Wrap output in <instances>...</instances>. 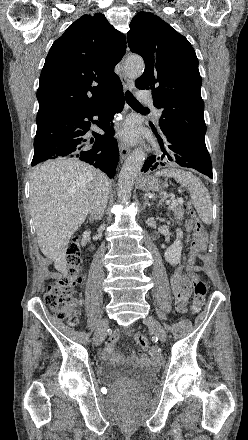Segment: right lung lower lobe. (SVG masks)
<instances>
[{"label":"right lung lower lobe","instance_id":"obj_1","mask_svg":"<svg viewBox=\"0 0 248 440\" xmlns=\"http://www.w3.org/2000/svg\"><path fill=\"white\" fill-rule=\"evenodd\" d=\"M123 106V87L120 81L105 99L77 106L37 124L31 166L48 159L73 158L87 162L113 178L119 152L117 142L112 137L115 131L110 122L115 113L122 111ZM94 116L98 120H92ZM92 123L98 125L105 134L92 132L93 137H88Z\"/></svg>","mask_w":248,"mask_h":440}]
</instances>
